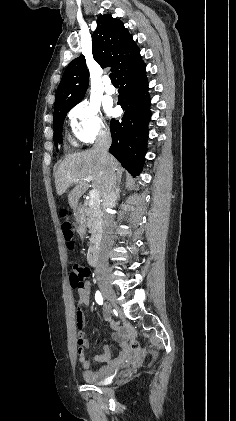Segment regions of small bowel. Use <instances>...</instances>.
<instances>
[{
  "mask_svg": "<svg viewBox=\"0 0 236 421\" xmlns=\"http://www.w3.org/2000/svg\"><path fill=\"white\" fill-rule=\"evenodd\" d=\"M79 294V302L77 304V314H78V326L80 327L79 331V343H81L82 348L84 349L85 346V339L83 332L81 330V326L83 325L82 320V314H81V307L83 305H88L90 302V288L89 285H87L83 290L78 291ZM108 316V315H107ZM105 353L109 356L108 351H105ZM80 361L82 363V366L86 369L84 376L85 378H90V370L89 369V361L85 358V350L82 352V354H79Z\"/></svg>",
  "mask_w": 236,
  "mask_h": 421,
  "instance_id": "1",
  "label": "small bowel"
}]
</instances>
